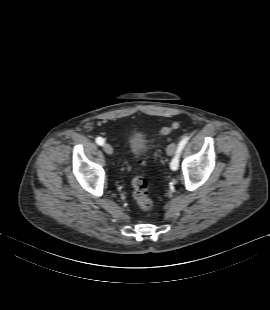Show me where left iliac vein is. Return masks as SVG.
<instances>
[{
	"mask_svg": "<svg viewBox=\"0 0 270 310\" xmlns=\"http://www.w3.org/2000/svg\"><path fill=\"white\" fill-rule=\"evenodd\" d=\"M175 148H176V144L175 143L169 144L168 147H167V150H166L167 154L169 156L173 155L174 151H175Z\"/></svg>",
	"mask_w": 270,
	"mask_h": 310,
	"instance_id": "4c4485c4",
	"label": "left iliac vein"
}]
</instances>
